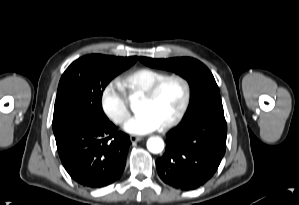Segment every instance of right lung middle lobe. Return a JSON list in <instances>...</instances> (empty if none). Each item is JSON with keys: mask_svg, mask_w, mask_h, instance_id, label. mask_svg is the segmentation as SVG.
<instances>
[{"mask_svg": "<svg viewBox=\"0 0 299 205\" xmlns=\"http://www.w3.org/2000/svg\"><path fill=\"white\" fill-rule=\"evenodd\" d=\"M133 63L108 56H84L63 73L56 96L53 132L59 138L71 127L88 121H108L101 98L106 85Z\"/></svg>", "mask_w": 299, "mask_h": 205, "instance_id": "dd1d6c3e", "label": "right lung middle lobe"}]
</instances>
